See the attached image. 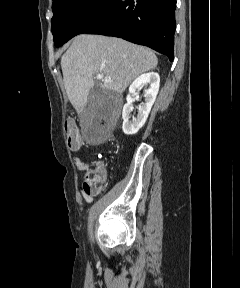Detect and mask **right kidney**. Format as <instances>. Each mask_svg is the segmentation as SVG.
<instances>
[{"label":"right kidney","instance_id":"1","mask_svg":"<svg viewBox=\"0 0 240 288\" xmlns=\"http://www.w3.org/2000/svg\"><path fill=\"white\" fill-rule=\"evenodd\" d=\"M160 77L158 73L149 72L140 75L129 87V94L127 95V103L123 107V132L126 135L136 134L139 129L144 125L147 117L150 113L151 107L155 102L156 96L159 91ZM150 85L149 89L145 91L144 103L138 108V114L133 120L131 118V112L133 110V96L139 93V90L144 85Z\"/></svg>","mask_w":240,"mask_h":288}]
</instances>
